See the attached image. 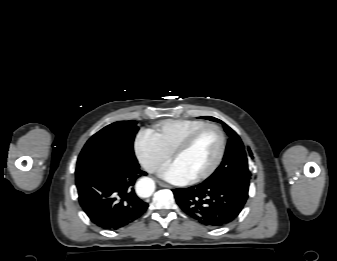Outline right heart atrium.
Listing matches in <instances>:
<instances>
[{
    "instance_id": "1",
    "label": "right heart atrium",
    "mask_w": 337,
    "mask_h": 261,
    "mask_svg": "<svg viewBox=\"0 0 337 261\" xmlns=\"http://www.w3.org/2000/svg\"><path fill=\"white\" fill-rule=\"evenodd\" d=\"M134 148L139 162L150 173L157 172L171 155L149 131H141L137 135Z\"/></svg>"
}]
</instances>
